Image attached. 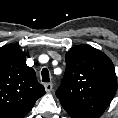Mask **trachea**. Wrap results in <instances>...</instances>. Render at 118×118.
Returning <instances> with one entry per match:
<instances>
[{"instance_id":"3493384b","label":"trachea","mask_w":118,"mask_h":118,"mask_svg":"<svg viewBox=\"0 0 118 118\" xmlns=\"http://www.w3.org/2000/svg\"><path fill=\"white\" fill-rule=\"evenodd\" d=\"M42 81L43 82H49L50 81V79H49V73H48V70L46 69V68H44L43 70H42Z\"/></svg>"}]
</instances>
